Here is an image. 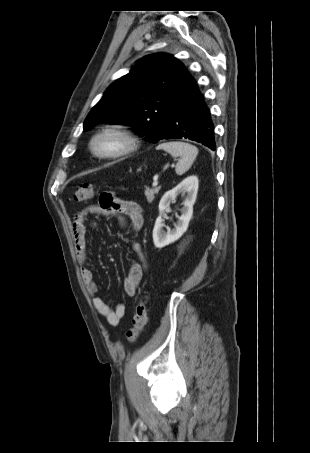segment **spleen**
I'll return each mask as SVG.
<instances>
[{"mask_svg": "<svg viewBox=\"0 0 310 453\" xmlns=\"http://www.w3.org/2000/svg\"><path fill=\"white\" fill-rule=\"evenodd\" d=\"M157 149L166 151L172 157H180V160L175 167L177 175H183L187 172L198 155V149L196 146L180 141H171L159 144Z\"/></svg>", "mask_w": 310, "mask_h": 453, "instance_id": "obj_1", "label": "spleen"}]
</instances>
